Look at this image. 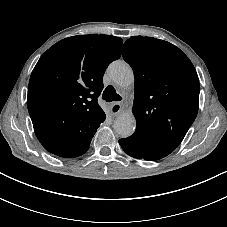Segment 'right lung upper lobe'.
<instances>
[{
  "label": "right lung upper lobe",
  "mask_w": 227,
  "mask_h": 227,
  "mask_svg": "<svg viewBox=\"0 0 227 227\" xmlns=\"http://www.w3.org/2000/svg\"><path fill=\"white\" fill-rule=\"evenodd\" d=\"M122 39L79 35L49 48L32 71L27 106L35 134L51 153L78 157L105 113L97 103L107 66L121 56Z\"/></svg>",
  "instance_id": "right-lung-upper-lobe-1"
}]
</instances>
